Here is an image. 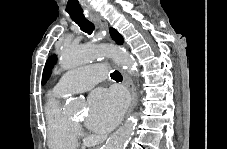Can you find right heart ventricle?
Segmentation results:
<instances>
[{"instance_id": "1", "label": "right heart ventricle", "mask_w": 227, "mask_h": 149, "mask_svg": "<svg viewBox=\"0 0 227 149\" xmlns=\"http://www.w3.org/2000/svg\"><path fill=\"white\" fill-rule=\"evenodd\" d=\"M63 94L50 92L44 107L48 144L52 149H73L78 145V129L61 109Z\"/></svg>"}]
</instances>
